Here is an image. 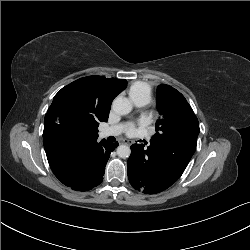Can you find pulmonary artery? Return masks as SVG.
<instances>
[{
  "mask_svg": "<svg viewBox=\"0 0 250 250\" xmlns=\"http://www.w3.org/2000/svg\"><path fill=\"white\" fill-rule=\"evenodd\" d=\"M136 106H144L146 104L145 101L143 100H138V101H134ZM124 130V126L122 124H118V125H114V126H110L107 128H104L101 132H100V136L102 138H106L109 136H117L119 134H121Z\"/></svg>",
  "mask_w": 250,
  "mask_h": 250,
  "instance_id": "e3ab8cb5",
  "label": "pulmonary artery"
}]
</instances>
